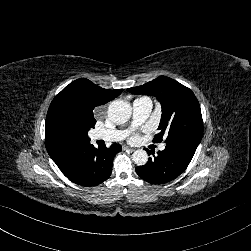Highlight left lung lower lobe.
<instances>
[{"label":"left lung lower lobe","mask_w":251,"mask_h":251,"mask_svg":"<svg viewBox=\"0 0 251 251\" xmlns=\"http://www.w3.org/2000/svg\"><path fill=\"white\" fill-rule=\"evenodd\" d=\"M197 146L174 142L167 144L165 150L149 158L143 166L136 167V173L143 180L153 184H164L177 178L185 171L192 160ZM148 154L151 152L146 149Z\"/></svg>","instance_id":"1"}]
</instances>
